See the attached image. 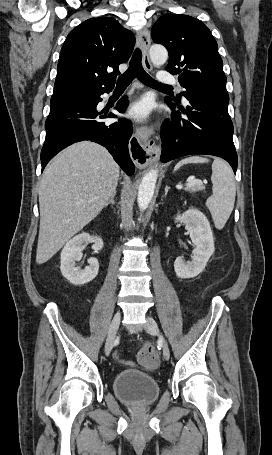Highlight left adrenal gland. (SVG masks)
<instances>
[{
  "mask_svg": "<svg viewBox=\"0 0 272 455\" xmlns=\"http://www.w3.org/2000/svg\"><path fill=\"white\" fill-rule=\"evenodd\" d=\"M169 189H170V187H169V186H166V187H165V194H164V196H165V197H166V195H167V193H168Z\"/></svg>",
  "mask_w": 272,
  "mask_h": 455,
  "instance_id": "obj_1",
  "label": "left adrenal gland"
}]
</instances>
